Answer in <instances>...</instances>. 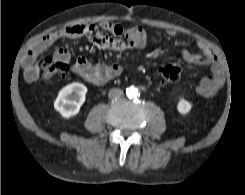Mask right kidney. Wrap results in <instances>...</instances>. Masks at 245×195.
I'll return each mask as SVG.
<instances>
[{
	"label": "right kidney",
	"instance_id": "obj_1",
	"mask_svg": "<svg viewBox=\"0 0 245 195\" xmlns=\"http://www.w3.org/2000/svg\"><path fill=\"white\" fill-rule=\"evenodd\" d=\"M87 87L78 82L63 87L54 102V108L62 117L70 118L77 115L85 102Z\"/></svg>",
	"mask_w": 245,
	"mask_h": 195
}]
</instances>
